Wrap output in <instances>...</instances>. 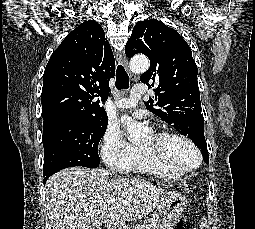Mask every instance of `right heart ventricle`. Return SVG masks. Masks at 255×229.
<instances>
[{"label": "right heart ventricle", "instance_id": "e07e8e85", "mask_svg": "<svg viewBox=\"0 0 255 229\" xmlns=\"http://www.w3.org/2000/svg\"><path fill=\"white\" fill-rule=\"evenodd\" d=\"M123 171L141 175H150L162 179H179L184 175H174L161 166L155 159L150 157L141 146H132L129 160L126 162Z\"/></svg>", "mask_w": 255, "mask_h": 229}]
</instances>
